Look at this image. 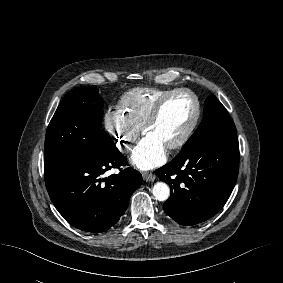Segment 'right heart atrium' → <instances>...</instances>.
Listing matches in <instances>:
<instances>
[{
  "instance_id": "1",
  "label": "right heart atrium",
  "mask_w": 283,
  "mask_h": 283,
  "mask_svg": "<svg viewBox=\"0 0 283 283\" xmlns=\"http://www.w3.org/2000/svg\"><path fill=\"white\" fill-rule=\"evenodd\" d=\"M104 126L121 152L128 153L133 149L139 137L140 129L120 109L107 110L104 114Z\"/></svg>"
}]
</instances>
